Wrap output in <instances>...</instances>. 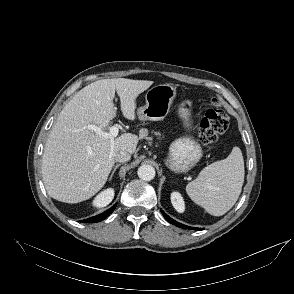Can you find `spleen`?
<instances>
[{
    "label": "spleen",
    "instance_id": "spleen-1",
    "mask_svg": "<svg viewBox=\"0 0 294 294\" xmlns=\"http://www.w3.org/2000/svg\"><path fill=\"white\" fill-rule=\"evenodd\" d=\"M244 182V160L239 147L230 155L205 167L186 186L188 196L209 214L222 216L236 203Z\"/></svg>",
    "mask_w": 294,
    "mask_h": 294
}]
</instances>
